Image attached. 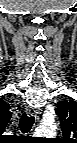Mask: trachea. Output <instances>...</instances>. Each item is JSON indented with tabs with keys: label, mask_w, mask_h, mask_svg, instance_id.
Returning <instances> with one entry per match:
<instances>
[{
	"label": "trachea",
	"mask_w": 77,
	"mask_h": 143,
	"mask_svg": "<svg viewBox=\"0 0 77 143\" xmlns=\"http://www.w3.org/2000/svg\"><path fill=\"white\" fill-rule=\"evenodd\" d=\"M34 124V117L33 116H28L26 113H24L19 122V128L22 133H28L32 126Z\"/></svg>",
	"instance_id": "trachea-1"
}]
</instances>
